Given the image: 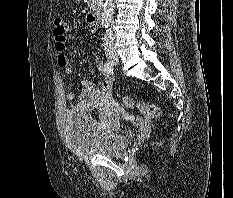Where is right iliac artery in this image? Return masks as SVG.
Listing matches in <instances>:
<instances>
[{"label": "right iliac artery", "instance_id": "1", "mask_svg": "<svg viewBox=\"0 0 233 198\" xmlns=\"http://www.w3.org/2000/svg\"><path fill=\"white\" fill-rule=\"evenodd\" d=\"M104 70L107 74H113V66H112V63L107 61L105 62L104 64Z\"/></svg>", "mask_w": 233, "mask_h": 198}]
</instances>
